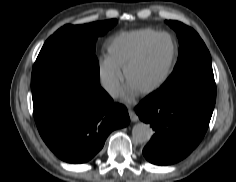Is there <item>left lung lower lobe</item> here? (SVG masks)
<instances>
[{
  "label": "left lung lower lobe",
  "mask_w": 236,
  "mask_h": 182,
  "mask_svg": "<svg viewBox=\"0 0 236 182\" xmlns=\"http://www.w3.org/2000/svg\"><path fill=\"white\" fill-rule=\"evenodd\" d=\"M214 105L190 97L145 98L135 111L155 134L143 149L144 157L156 165H170L187 157L203 139Z\"/></svg>",
  "instance_id": "obj_1"
}]
</instances>
